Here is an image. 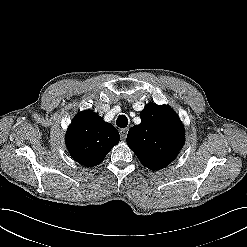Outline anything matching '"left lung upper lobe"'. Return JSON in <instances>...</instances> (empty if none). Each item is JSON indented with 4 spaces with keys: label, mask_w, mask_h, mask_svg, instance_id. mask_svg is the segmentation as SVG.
I'll use <instances>...</instances> for the list:
<instances>
[{
    "label": "left lung upper lobe",
    "mask_w": 247,
    "mask_h": 247,
    "mask_svg": "<svg viewBox=\"0 0 247 247\" xmlns=\"http://www.w3.org/2000/svg\"><path fill=\"white\" fill-rule=\"evenodd\" d=\"M141 124L128 132L127 144L147 168L159 170L171 163L184 144V127L166 105L146 104Z\"/></svg>",
    "instance_id": "left-lung-upper-lobe-1"
}]
</instances>
